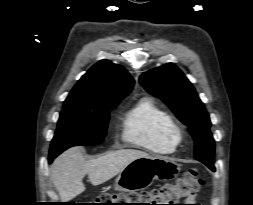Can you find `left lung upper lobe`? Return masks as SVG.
Listing matches in <instances>:
<instances>
[{
	"instance_id": "1",
	"label": "left lung upper lobe",
	"mask_w": 253,
	"mask_h": 205,
	"mask_svg": "<svg viewBox=\"0 0 253 205\" xmlns=\"http://www.w3.org/2000/svg\"><path fill=\"white\" fill-rule=\"evenodd\" d=\"M152 95L164 101L177 118L189 128L195 141V159L214 170V139L210 118L194 87L174 64L145 72L139 79Z\"/></svg>"
}]
</instances>
